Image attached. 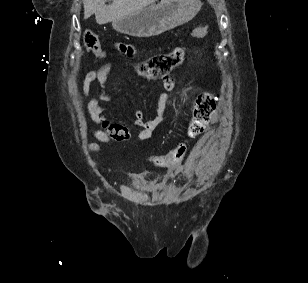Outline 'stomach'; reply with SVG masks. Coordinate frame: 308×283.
<instances>
[{"label":"stomach","instance_id":"stomach-1","mask_svg":"<svg viewBox=\"0 0 308 283\" xmlns=\"http://www.w3.org/2000/svg\"><path fill=\"white\" fill-rule=\"evenodd\" d=\"M200 0H161L112 21V27L134 37H151L174 29L193 19L201 9Z\"/></svg>","mask_w":308,"mask_h":283}]
</instances>
